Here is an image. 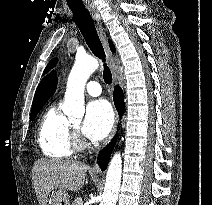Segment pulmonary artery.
Wrapping results in <instances>:
<instances>
[{
	"label": "pulmonary artery",
	"mask_w": 212,
	"mask_h": 205,
	"mask_svg": "<svg viewBox=\"0 0 212 205\" xmlns=\"http://www.w3.org/2000/svg\"><path fill=\"white\" fill-rule=\"evenodd\" d=\"M86 91L91 96H99L101 94V86L96 81H90L86 85Z\"/></svg>",
	"instance_id": "e3ab8cb5"
}]
</instances>
